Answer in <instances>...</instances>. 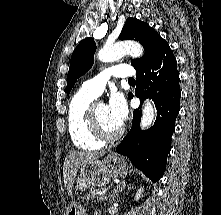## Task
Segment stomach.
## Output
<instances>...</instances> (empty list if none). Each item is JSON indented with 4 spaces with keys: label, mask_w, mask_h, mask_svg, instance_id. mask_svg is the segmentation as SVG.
Returning a JSON list of instances; mask_svg holds the SVG:
<instances>
[{
    "label": "stomach",
    "mask_w": 221,
    "mask_h": 215,
    "mask_svg": "<svg viewBox=\"0 0 221 215\" xmlns=\"http://www.w3.org/2000/svg\"><path fill=\"white\" fill-rule=\"evenodd\" d=\"M127 173L128 166L125 159L111 153L103 160H92L80 166L76 178V190L82 192L89 187H102L112 177H125ZM66 215H87V212L80 203L72 201L67 207Z\"/></svg>",
    "instance_id": "obj_1"
}]
</instances>
